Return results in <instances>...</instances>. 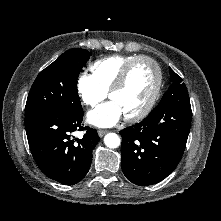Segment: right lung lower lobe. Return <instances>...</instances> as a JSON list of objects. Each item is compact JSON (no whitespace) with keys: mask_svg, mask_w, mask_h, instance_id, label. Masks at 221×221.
Returning <instances> with one entry per match:
<instances>
[{"mask_svg":"<svg viewBox=\"0 0 221 221\" xmlns=\"http://www.w3.org/2000/svg\"><path fill=\"white\" fill-rule=\"evenodd\" d=\"M83 112L49 110L25 117L32 156L40 170L64 185L81 181L91 166L92 150L99 141L95 129L82 126ZM85 130L82 138L74 131Z\"/></svg>","mask_w":221,"mask_h":221,"instance_id":"obj_1","label":"right lung lower lobe"}]
</instances>
